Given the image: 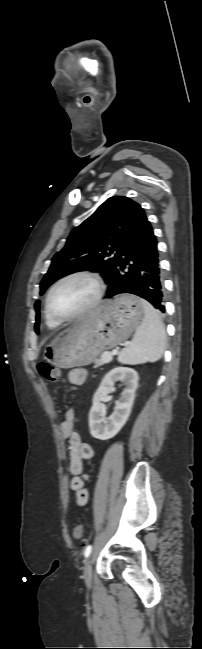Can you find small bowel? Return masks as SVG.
Segmentation results:
<instances>
[{"mask_svg": "<svg viewBox=\"0 0 202 649\" xmlns=\"http://www.w3.org/2000/svg\"><path fill=\"white\" fill-rule=\"evenodd\" d=\"M87 377V372L84 368L72 369L69 373V381L73 385H82ZM75 412L73 407H66L63 413V420L60 426L61 437L67 441L68 447L66 449L69 463L68 469L72 475L71 488L76 493L77 503L79 505L86 504L88 500V492L85 488V483L89 480V474H84V460L92 457V449L89 445L82 442L80 435L74 430ZM82 475V476H81Z\"/></svg>", "mask_w": 202, "mask_h": 649, "instance_id": "1", "label": "small bowel"}]
</instances>
